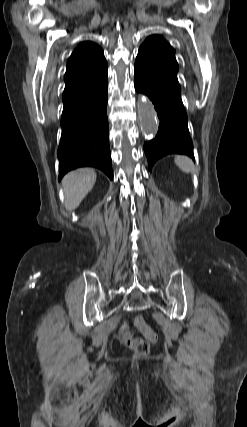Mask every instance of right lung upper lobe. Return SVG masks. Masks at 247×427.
I'll use <instances>...</instances> for the list:
<instances>
[{"mask_svg": "<svg viewBox=\"0 0 247 427\" xmlns=\"http://www.w3.org/2000/svg\"><path fill=\"white\" fill-rule=\"evenodd\" d=\"M107 69L103 50L92 42L81 43L67 62L65 89L86 82Z\"/></svg>", "mask_w": 247, "mask_h": 427, "instance_id": "obj_1", "label": "right lung upper lobe"}]
</instances>
